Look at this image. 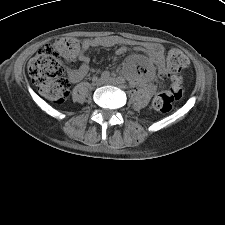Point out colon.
Returning a JSON list of instances; mask_svg holds the SVG:
<instances>
[{
    "label": "colon",
    "mask_w": 225,
    "mask_h": 225,
    "mask_svg": "<svg viewBox=\"0 0 225 225\" xmlns=\"http://www.w3.org/2000/svg\"><path fill=\"white\" fill-rule=\"evenodd\" d=\"M80 50L79 40L62 36L43 45L27 66L29 77L36 83L40 94L54 104L63 103L69 95V83L63 77L64 61L75 62ZM188 64L185 54L172 49L168 52L166 66L160 71L161 76H170L172 86L169 91L158 93L153 99V107L161 112H168L176 101L183 96L181 79L176 75Z\"/></svg>",
    "instance_id": "5ec220e1"
}]
</instances>
